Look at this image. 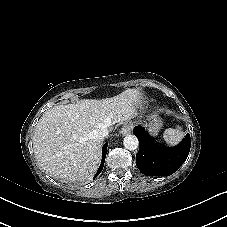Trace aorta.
<instances>
[{
	"label": "aorta",
	"mask_w": 227,
	"mask_h": 227,
	"mask_svg": "<svg viewBox=\"0 0 227 227\" xmlns=\"http://www.w3.org/2000/svg\"><path fill=\"white\" fill-rule=\"evenodd\" d=\"M124 147L130 151H134L139 146V141L134 135H127L123 140Z\"/></svg>",
	"instance_id": "obj_1"
}]
</instances>
